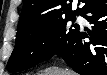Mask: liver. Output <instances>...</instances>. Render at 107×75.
<instances>
[{
	"mask_svg": "<svg viewBox=\"0 0 107 75\" xmlns=\"http://www.w3.org/2000/svg\"><path fill=\"white\" fill-rule=\"evenodd\" d=\"M44 75H75V73L70 70L52 68L48 72H46Z\"/></svg>",
	"mask_w": 107,
	"mask_h": 75,
	"instance_id": "1",
	"label": "liver"
}]
</instances>
